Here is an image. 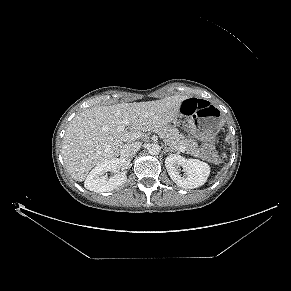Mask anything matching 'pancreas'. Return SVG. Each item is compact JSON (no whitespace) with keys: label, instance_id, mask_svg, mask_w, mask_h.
<instances>
[{"label":"pancreas","instance_id":"cf45deb5","mask_svg":"<svg viewBox=\"0 0 291 291\" xmlns=\"http://www.w3.org/2000/svg\"><path fill=\"white\" fill-rule=\"evenodd\" d=\"M155 130L160 137L163 138L164 142L173 150L178 151L179 147L182 146L185 148L187 154L198 158H204L197 141L180 133L177 128L163 126L158 127Z\"/></svg>","mask_w":291,"mask_h":291}]
</instances>
